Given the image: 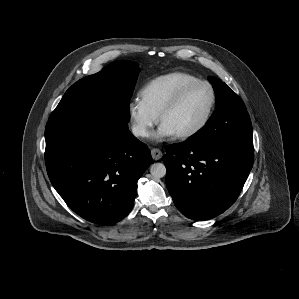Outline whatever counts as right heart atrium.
Returning <instances> with one entry per match:
<instances>
[{
    "instance_id": "1",
    "label": "right heart atrium",
    "mask_w": 299,
    "mask_h": 299,
    "mask_svg": "<svg viewBox=\"0 0 299 299\" xmlns=\"http://www.w3.org/2000/svg\"><path fill=\"white\" fill-rule=\"evenodd\" d=\"M128 114L135 136L146 138L158 122V115L149 110L141 100L135 99L128 105Z\"/></svg>"
}]
</instances>
